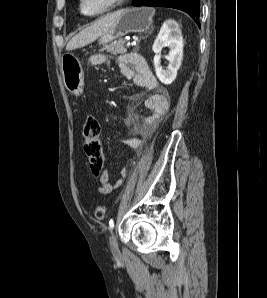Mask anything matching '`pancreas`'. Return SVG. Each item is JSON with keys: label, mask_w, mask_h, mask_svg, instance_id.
I'll use <instances>...</instances> for the list:
<instances>
[{"label": "pancreas", "mask_w": 267, "mask_h": 298, "mask_svg": "<svg viewBox=\"0 0 267 298\" xmlns=\"http://www.w3.org/2000/svg\"><path fill=\"white\" fill-rule=\"evenodd\" d=\"M125 43L126 40L123 38H120L114 42H112L110 45L105 46L102 51H106L108 53H112L114 55L122 54L125 52Z\"/></svg>", "instance_id": "1"}]
</instances>
